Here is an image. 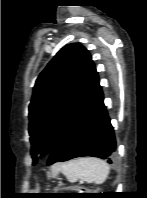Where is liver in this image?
Instances as JSON below:
<instances>
[{"instance_id":"1","label":"liver","mask_w":147,"mask_h":198,"mask_svg":"<svg viewBox=\"0 0 147 198\" xmlns=\"http://www.w3.org/2000/svg\"><path fill=\"white\" fill-rule=\"evenodd\" d=\"M61 165H56L54 168V173L56 174L60 170Z\"/></svg>"}]
</instances>
